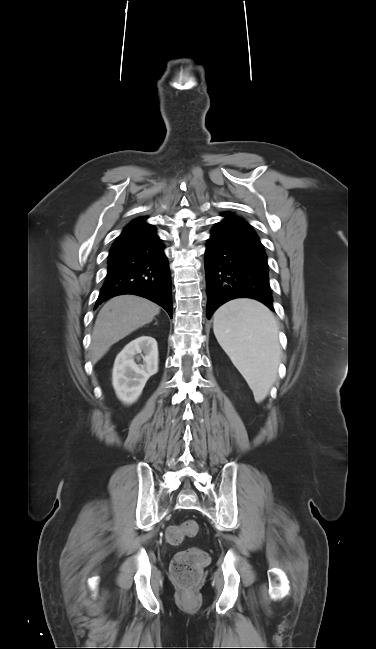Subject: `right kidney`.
<instances>
[{
	"mask_svg": "<svg viewBox=\"0 0 376 649\" xmlns=\"http://www.w3.org/2000/svg\"><path fill=\"white\" fill-rule=\"evenodd\" d=\"M143 359L142 364H138ZM158 371L157 342L142 335L131 341L117 355L113 367L112 384L117 397L126 404L135 402L147 380Z\"/></svg>",
	"mask_w": 376,
	"mask_h": 649,
	"instance_id": "1",
	"label": "right kidney"
}]
</instances>
